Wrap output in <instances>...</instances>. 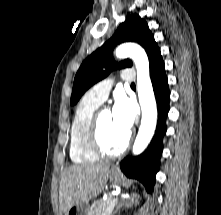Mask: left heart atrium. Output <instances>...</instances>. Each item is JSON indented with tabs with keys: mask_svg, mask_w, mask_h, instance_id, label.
<instances>
[{
	"mask_svg": "<svg viewBox=\"0 0 221 215\" xmlns=\"http://www.w3.org/2000/svg\"><path fill=\"white\" fill-rule=\"evenodd\" d=\"M113 118L118 129L129 136L135 121L133 103L124 95L117 96L112 110Z\"/></svg>",
	"mask_w": 221,
	"mask_h": 215,
	"instance_id": "left-heart-atrium-1",
	"label": "left heart atrium"
}]
</instances>
